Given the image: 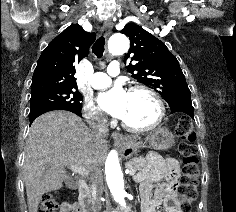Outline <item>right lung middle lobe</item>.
Instances as JSON below:
<instances>
[{
  "label": "right lung middle lobe",
  "instance_id": "1",
  "mask_svg": "<svg viewBox=\"0 0 236 212\" xmlns=\"http://www.w3.org/2000/svg\"><path fill=\"white\" fill-rule=\"evenodd\" d=\"M82 95L77 88H54L31 93V107H55L81 110Z\"/></svg>",
  "mask_w": 236,
  "mask_h": 212
}]
</instances>
